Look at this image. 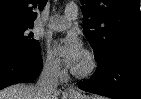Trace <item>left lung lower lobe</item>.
<instances>
[{"instance_id": "0a47b994", "label": "left lung lower lobe", "mask_w": 141, "mask_h": 99, "mask_svg": "<svg viewBox=\"0 0 141 99\" xmlns=\"http://www.w3.org/2000/svg\"><path fill=\"white\" fill-rule=\"evenodd\" d=\"M97 61L93 77L79 82L80 89L113 99H141V49H115Z\"/></svg>"}]
</instances>
